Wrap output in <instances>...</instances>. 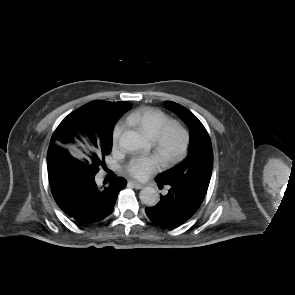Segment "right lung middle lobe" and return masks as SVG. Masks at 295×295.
I'll list each match as a JSON object with an SVG mask.
<instances>
[{"label":"right lung middle lobe","mask_w":295,"mask_h":295,"mask_svg":"<svg viewBox=\"0 0 295 295\" xmlns=\"http://www.w3.org/2000/svg\"><path fill=\"white\" fill-rule=\"evenodd\" d=\"M115 123L109 124L106 126L103 132V137L95 138L91 137L90 140L94 144V146L99 148V153H93L90 157L91 159L89 161L85 160L83 161V166L85 169H96L98 170L99 167H105V161L104 158L106 155L110 154L112 150V135H113V128ZM88 129V123L87 121L82 117L81 114L75 115L73 118V125L72 130L67 134L66 141L72 140L73 136H76L78 139H80L77 136V132L79 131H86Z\"/></svg>","instance_id":"right-lung-middle-lobe-1"}]
</instances>
